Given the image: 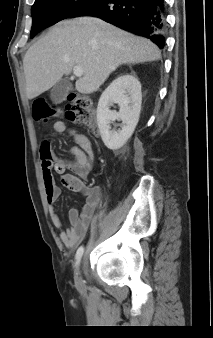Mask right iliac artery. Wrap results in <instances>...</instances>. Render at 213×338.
Returning a JSON list of instances; mask_svg holds the SVG:
<instances>
[{"mask_svg":"<svg viewBox=\"0 0 213 338\" xmlns=\"http://www.w3.org/2000/svg\"><path fill=\"white\" fill-rule=\"evenodd\" d=\"M83 252H84L83 246L79 247L77 252H76V256H75L76 265H79L81 258H82V255H83Z\"/></svg>","mask_w":213,"mask_h":338,"instance_id":"right-iliac-artery-1","label":"right iliac artery"}]
</instances>
